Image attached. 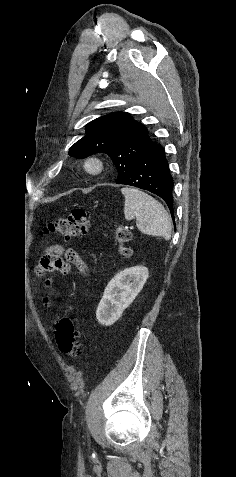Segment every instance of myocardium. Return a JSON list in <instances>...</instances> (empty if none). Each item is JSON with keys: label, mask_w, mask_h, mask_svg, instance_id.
<instances>
[{"label": "myocardium", "mask_w": 236, "mask_h": 477, "mask_svg": "<svg viewBox=\"0 0 236 477\" xmlns=\"http://www.w3.org/2000/svg\"><path fill=\"white\" fill-rule=\"evenodd\" d=\"M83 169L89 175H98L104 169V164L99 158L89 156L83 161Z\"/></svg>", "instance_id": "obj_1"}]
</instances>
